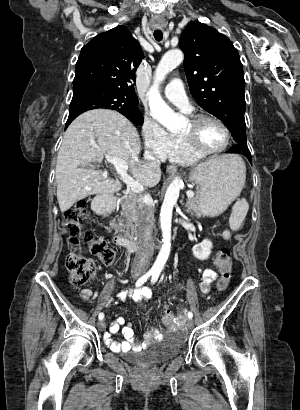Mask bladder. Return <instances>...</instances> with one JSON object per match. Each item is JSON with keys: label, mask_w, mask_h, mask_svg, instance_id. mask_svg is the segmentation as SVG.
I'll return each instance as SVG.
<instances>
[{"label": "bladder", "mask_w": 300, "mask_h": 410, "mask_svg": "<svg viewBox=\"0 0 300 410\" xmlns=\"http://www.w3.org/2000/svg\"><path fill=\"white\" fill-rule=\"evenodd\" d=\"M180 351V345L170 341H162L161 343H154L141 351L127 352L124 355L128 361L137 366L149 367L175 357Z\"/></svg>", "instance_id": "31cf9c89"}]
</instances>
